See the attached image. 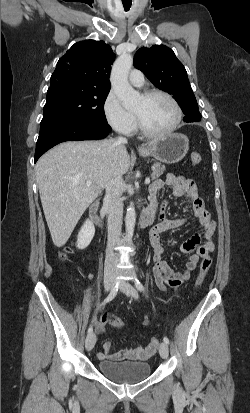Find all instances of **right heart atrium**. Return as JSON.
<instances>
[{
  "instance_id": "right-heart-atrium-1",
  "label": "right heart atrium",
  "mask_w": 250,
  "mask_h": 413,
  "mask_svg": "<svg viewBox=\"0 0 250 413\" xmlns=\"http://www.w3.org/2000/svg\"><path fill=\"white\" fill-rule=\"evenodd\" d=\"M103 114L106 122L115 131L130 135L136 128V118L120 101L117 94L111 90L103 102Z\"/></svg>"
}]
</instances>
